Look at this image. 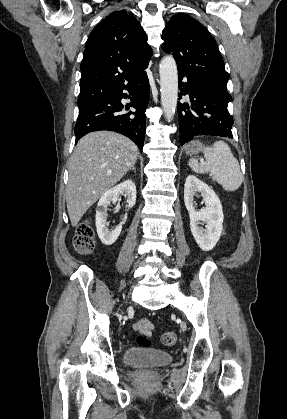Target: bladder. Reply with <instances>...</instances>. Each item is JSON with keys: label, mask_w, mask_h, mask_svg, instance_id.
Returning a JSON list of instances; mask_svg holds the SVG:
<instances>
[{"label": "bladder", "mask_w": 287, "mask_h": 419, "mask_svg": "<svg viewBox=\"0 0 287 419\" xmlns=\"http://www.w3.org/2000/svg\"><path fill=\"white\" fill-rule=\"evenodd\" d=\"M123 360L131 367L153 368L169 364L172 356L157 349L131 346L125 350Z\"/></svg>", "instance_id": "31cf9c89"}]
</instances>
